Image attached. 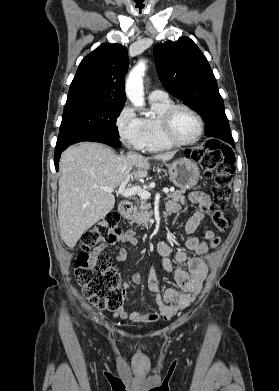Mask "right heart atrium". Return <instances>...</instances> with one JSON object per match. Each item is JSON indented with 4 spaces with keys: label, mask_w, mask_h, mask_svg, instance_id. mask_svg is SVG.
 I'll use <instances>...</instances> for the list:
<instances>
[{
    "label": "right heart atrium",
    "mask_w": 279,
    "mask_h": 391,
    "mask_svg": "<svg viewBox=\"0 0 279 391\" xmlns=\"http://www.w3.org/2000/svg\"><path fill=\"white\" fill-rule=\"evenodd\" d=\"M117 134L123 144L141 149V119L130 105H124L115 118Z\"/></svg>",
    "instance_id": "obj_1"
}]
</instances>
